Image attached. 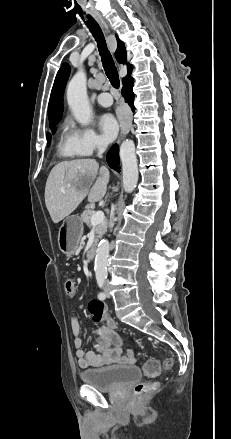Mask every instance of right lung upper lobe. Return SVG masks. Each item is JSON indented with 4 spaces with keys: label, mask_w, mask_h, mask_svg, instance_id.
I'll return each mask as SVG.
<instances>
[{
    "label": "right lung upper lobe",
    "mask_w": 231,
    "mask_h": 439,
    "mask_svg": "<svg viewBox=\"0 0 231 439\" xmlns=\"http://www.w3.org/2000/svg\"><path fill=\"white\" fill-rule=\"evenodd\" d=\"M118 47L115 52V56L118 62L126 63L127 53L125 50V45L122 41L117 38ZM128 75L123 78V80L130 77L132 66L127 63ZM70 73V68L68 64H63L58 71L54 85L51 92L50 102L48 105V116L50 121V127L56 126L58 120L61 118L63 112V92L68 80Z\"/></svg>",
    "instance_id": "right-lung-upper-lobe-1"
}]
</instances>
